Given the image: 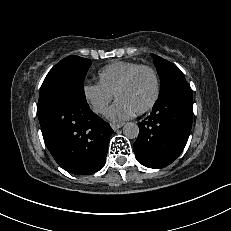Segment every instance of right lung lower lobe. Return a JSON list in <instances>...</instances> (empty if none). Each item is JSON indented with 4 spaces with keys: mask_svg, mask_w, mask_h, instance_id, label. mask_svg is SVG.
Here are the masks:
<instances>
[{
    "mask_svg": "<svg viewBox=\"0 0 231 231\" xmlns=\"http://www.w3.org/2000/svg\"><path fill=\"white\" fill-rule=\"evenodd\" d=\"M37 114L46 146L63 169L85 175L104 166L113 130L85 99L60 94L39 105Z\"/></svg>",
    "mask_w": 231,
    "mask_h": 231,
    "instance_id": "right-lung-lower-lobe-1",
    "label": "right lung lower lobe"
}]
</instances>
